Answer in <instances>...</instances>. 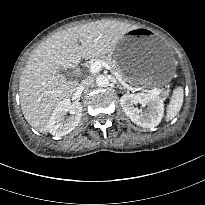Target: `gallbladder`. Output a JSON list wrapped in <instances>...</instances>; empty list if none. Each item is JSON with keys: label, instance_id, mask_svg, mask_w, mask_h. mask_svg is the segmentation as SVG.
I'll list each match as a JSON object with an SVG mask.
<instances>
[{"label": "gallbladder", "instance_id": "bac80fb5", "mask_svg": "<svg viewBox=\"0 0 205 205\" xmlns=\"http://www.w3.org/2000/svg\"><path fill=\"white\" fill-rule=\"evenodd\" d=\"M60 73H62V74H64V75L66 74L63 69L60 70Z\"/></svg>", "mask_w": 205, "mask_h": 205}]
</instances>
